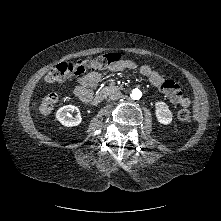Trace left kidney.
Wrapping results in <instances>:
<instances>
[{"label": "left kidney", "instance_id": "obj_1", "mask_svg": "<svg viewBox=\"0 0 221 221\" xmlns=\"http://www.w3.org/2000/svg\"><path fill=\"white\" fill-rule=\"evenodd\" d=\"M155 114L157 117V120L164 125H168L172 122V113L168 108V105L162 101L155 103Z\"/></svg>", "mask_w": 221, "mask_h": 221}]
</instances>
